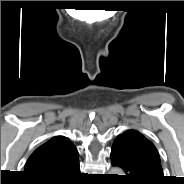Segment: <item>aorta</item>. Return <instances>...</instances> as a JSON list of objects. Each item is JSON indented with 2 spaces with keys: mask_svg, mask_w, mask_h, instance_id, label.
Wrapping results in <instances>:
<instances>
[{
  "mask_svg": "<svg viewBox=\"0 0 184 184\" xmlns=\"http://www.w3.org/2000/svg\"><path fill=\"white\" fill-rule=\"evenodd\" d=\"M111 174H118L121 175L120 173H122V171L119 168H113L111 169Z\"/></svg>",
  "mask_w": 184,
  "mask_h": 184,
  "instance_id": "1",
  "label": "aorta"
}]
</instances>
